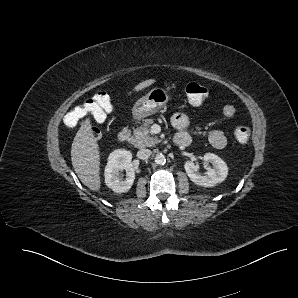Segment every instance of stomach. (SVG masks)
<instances>
[{"mask_svg":"<svg viewBox=\"0 0 298 298\" xmlns=\"http://www.w3.org/2000/svg\"><path fill=\"white\" fill-rule=\"evenodd\" d=\"M167 100V93L163 89L155 88L135 103L133 115L135 118L151 115L164 106Z\"/></svg>","mask_w":298,"mask_h":298,"instance_id":"0dacf381","label":"stomach"}]
</instances>
